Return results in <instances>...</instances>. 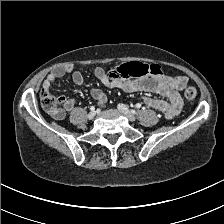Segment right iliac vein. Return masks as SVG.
I'll return each instance as SVG.
<instances>
[{
  "label": "right iliac vein",
  "instance_id": "1",
  "mask_svg": "<svg viewBox=\"0 0 224 224\" xmlns=\"http://www.w3.org/2000/svg\"><path fill=\"white\" fill-rule=\"evenodd\" d=\"M95 117V112L94 111H92V112H90L89 114H88V118L89 119H93Z\"/></svg>",
  "mask_w": 224,
  "mask_h": 224
}]
</instances>
